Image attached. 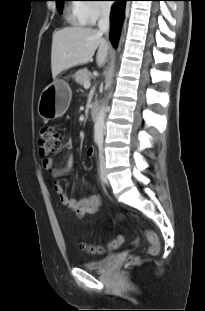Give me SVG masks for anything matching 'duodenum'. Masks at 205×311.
<instances>
[{
  "mask_svg": "<svg viewBox=\"0 0 205 311\" xmlns=\"http://www.w3.org/2000/svg\"><path fill=\"white\" fill-rule=\"evenodd\" d=\"M100 105L98 102H93L90 107V116L92 119H96L99 112Z\"/></svg>",
  "mask_w": 205,
  "mask_h": 311,
  "instance_id": "410a0bca",
  "label": "duodenum"
}]
</instances>
